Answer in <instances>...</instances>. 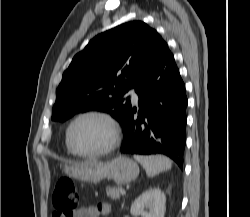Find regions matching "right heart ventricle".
<instances>
[{
	"label": "right heart ventricle",
	"instance_id": "1",
	"mask_svg": "<svg viewBox=\"0 0 250 217\" xmlns=\"http://www.w3.org/2000/svg\"><path fill=\"white\" fill-rule=\"evenodd\" d=\"M66 146H67V151H68V153L73 154L72 151L69 149V147H68V145H67V142H66Z\"/></svg>",
	"mask_w": 250,
	"mask_h": 217
}]
</instances>
